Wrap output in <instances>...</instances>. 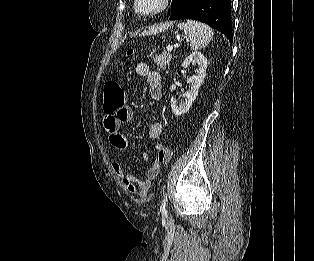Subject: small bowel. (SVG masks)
Instances as JSON below:
<instances>
[{"label": "small bowel", "mask_w": 314, "mask_h": 261, "mask_svg": "<svg viewBox=\"0 0 314 261\" xmlns=\"http://www.w3.org/2000/svg\"><path fill=\"white\" fill-rule=\"evenodd\" d=\"M136 73L146 78L149 86V95L152 100L159 101L162 99L163 90L160 74L150 69L149 65L144 62L137 63L135 66ZM133 113L130 107L123 105L118 109H110L104 117V127L109 134L110 144L117 150H127L129 142L126 136L121 132V125L132 120ZM163 133V125L161 122H153L149 129V136L153 140H158ZM145 161L149 160V156H143ZM113 172L119 177L123 186L131 193L140 197L147 196L151 182L160 174L161 166L158 162H154L146 171L145 178L139 179L132 174L125 172L118 163L112 164Z\"/></svg>", "instance_id": "small-bowel-1"}]
</instances>
